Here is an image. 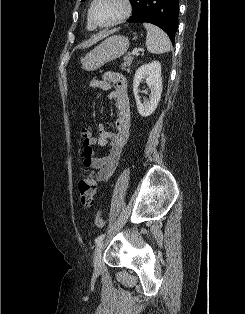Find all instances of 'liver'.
Listing matches in <instances>:
<instances>
[{
  "mask_svg": "<svg viewBox=\"0 0 245 314\" xmlns=\"http://www.w3.org/2000/svg\"><path fill=\"white\" fill-rule=\"evenodd\" d=\"M110 34H111V32H101L97 36H95L93 39L88 40L87 42H85L82 45V47L83 48H88V47L92 46L93 44H95L96 42H98L99 40L109 36Z\"/></svg>",
  "mask_w": 245,
  "mask_h": 314,
  "instance_id": "obj_1",
  "label": "liver"
}]
</instances>
